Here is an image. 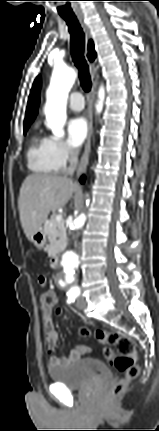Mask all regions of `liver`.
Segmentation results:
<instances>
[{"label":"liver","mask_w":159,"mask_h":431,"mask_svg":"<svg viewBox=\"0 0 159 431\" xmlns=\"http://www.w3.org/2000/svg\"><path fill=\"white\" fill-rule=\"evenodd\" d=\"M77 185L66 176L31 174L26 177L18 198L20 222L28 240L42 230L49 213L63 208Z\"/></svg>","instance_id":"6515ba94"}]
</instances>
